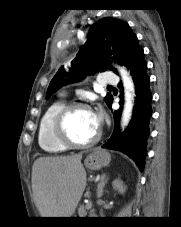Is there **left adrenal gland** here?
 Wrapping results in <instances>:
<instances>
[{
  "mask_svg": "<svg viewBox=\"0 0 181 227\" xmlns=\"http://www.w3.org/2000/svg\"><path fill=\"white\" fill-rule=\"evenodd\" d=\"M107 178H106V175L105 174H102L101 175V178H100V181L98 183V186H97V197L98 198H101L102 195H103V189L105 187V184L107 183Z\"/></svg>",
  "mask_w": 181,
  "mask_h": 227,
  "instance_id": "obj_1",
  "label": "left adrenal gland"
}]
</instances>
